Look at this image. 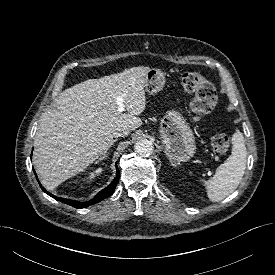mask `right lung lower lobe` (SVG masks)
<instances>
[{
  "label": "right lung lower lobe",
  "instance_id": "obj_1",
  "mask_svg": "<svg viewBox=\"0 0 275 275\" xmlns=\"http://www.w3.org/2000/svg\"><path fill=\"white\" fill-rule=\"evenodd\" d=\"M119 178H120V172H119V170L116 166V177L114 178L112 183L108 187H106L105 189L100 191L93 199H91L87 202H79V201H75V200H69V199H65V198L56 197V196L52 195L51 193H49L48 191H46L42 186L41 187H42V189L45 193H47L48 195H50L54 199H56L58 201H61L63 203H66L68 205H71L75 208L81 209V208H85V207H88L90 205H93L95 203H98V202L102 201L103 199L111 196L112 193L114 192L117 184H118Z\"/></svg>",
  "mask_w": 275,
  "mask_h": 275
}]
</instances>
